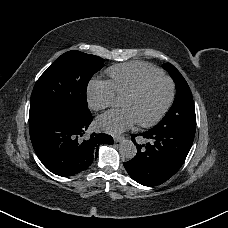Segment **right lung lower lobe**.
I'll return each mask as SVG.
<instances>
[{
    "label": "right lung lower lobe",
    "mask_w": 228,
    "mask_h": 228,
    "mask_svg": "<svg viewBox=\"0 0 228 228\" xmlns=\"http://www.w3.org/2000/svg\"><path fill=\"white\" fill-rule=\"evenodd\" d=\"M92 120H72L56 113L29 116L33 148L50 172L62 177L79 173L92 164L100 144H113L105 133L88 135Z\"/></svg>",
    "instance_id": "98d812e1"
}]
</instances>
